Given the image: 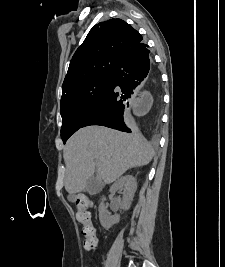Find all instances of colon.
Returning a JSON list of instances; mask_svg holds the SVG:
<instances>
[{"label":"colon","instance_id":"colon-1","mask_svg":"<svg viewBox=\"0 0 225 267\" xmlns=\"http://www.w3.org/2000/svg\"><path fill=\"white\" fill-rule=\"evenodd\" d=\"M77 219L82 224L81 234L86 249H94L97 244L96 228L91 220V200L87 196H80L76 200Z\"/></svg>","mask_w":225,"mask_h":267}]
</instances>
